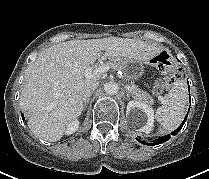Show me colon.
I'll return each mask as SVG.
<instances>
[{
	"mask_svg": "<svg viewBox=\"0 0 209 179\" xmlns=\"http://www.w3.org/2000/svg\"><path fill=\"white\" fill-rule=\"evenodd\" d=\"M153 61L160 69H168V75L165 80L166 85H171L180 78L182 73L181 69L176 67L169 68V58L165 53L157 55L154 57Z\"/></svg>",
	"mask_w": 209,
	"mask_h": 179,
	"instance_id": "obj_1",
	"label": "colon"
}]
</instances>
